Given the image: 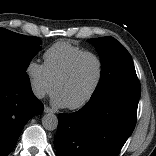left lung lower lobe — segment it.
Wrapping results in <instances>:
<instances>
[{"label":"left lung lower lobe","mask_w":156,"mask_h":156,"mask_svg":"<svg viewBox=\"0 0 156 156\" xmlns=\"http://www.w3.org/2000/svg\"><path fill=\"white\" fill-rule=\"evenodd\" d=\"M139 97L111 92L91 98L78 112L59 114L58 156H117L134 130Z\"/></svg>","instance_id":"obj_1"}]
</instances>
